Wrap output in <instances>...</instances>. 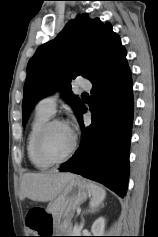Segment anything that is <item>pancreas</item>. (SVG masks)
<instances>
[{"label": "pancreas", "mask_w": 158, "mask_h": 237, "mask_svg": "<svg viewBox=\"0 0 158 237\" xmlns=\"http://www.w3.org/2000/svg\"><path fill=\"white\" fill-rule=\"evenodd\" d=\"M61 231L69 233L71 236H77L80 233L79 228H72L70 220H62L61 222Z\"/></svg>", "instance_id": "obj_1"}]
</instances>
